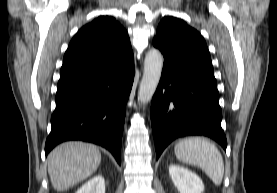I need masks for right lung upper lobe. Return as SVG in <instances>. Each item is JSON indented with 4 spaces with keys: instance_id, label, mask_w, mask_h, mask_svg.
Instances as JSON below:
<instances>
[{
    "instance_id": "right-lung-upper-lobe-1",
    "label": "right lung upper lobe",
    "mask_w": 277,
    "mask_h": 193,
    "mask_svg": "<svg viewBox=\"0 0 277 193\" xmlns=\"http://www.w3.org/2000/svg\"><path fill=\"white\" fill-rule=\"evenodd\" d=\"M125 29L111 16H100L82 27L65 52L60 80L95 73L132 56Z\"/></svg>"
}]
</instances>
